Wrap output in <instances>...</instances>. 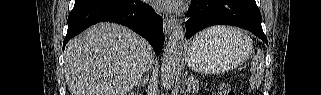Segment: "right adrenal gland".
Masks as SVG:
<instances>
[{
	"instance_id": "1",
	"label": "right adrenal gland",
	"mask_w": 321,
	"mask_h": 95,
	"mask_svg": "<svg viewBox=\"0 0 321 95\" xmlns=\"http://www.w3.org/2000/svg\"><path fill=\"white\" fill-rule=\"evenodd\" d=\"M147 82H148V78H147V77L144 78V79H142V80L136 85V87H135L134 91L132 92V94H135L137 89H139V88H141V87L144 88V87L146 86Z\"/></svg>"
}]
</instances>
